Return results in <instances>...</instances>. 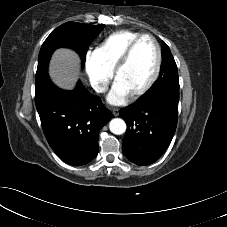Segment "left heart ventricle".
<instances>
[{"mask_svg": "<svg viewBox=\"0 0 227 227\" xmlns=\"http://www.w3.org/2000/svg\"><path fill=\"white\" fill-rule=\"evenodd\" d=\"M156 63L157 52L154 43L150 39H143L136 46L128 64L118 74L116 83L130 95L149 81Z\"/></svg>", "mask_w": 227, "mask_h": 227, "instance_id": "1", "label": "left heart ventricle"}]
</instances>
